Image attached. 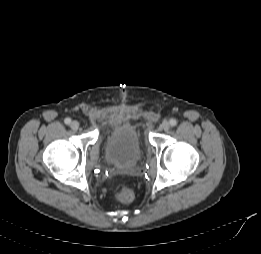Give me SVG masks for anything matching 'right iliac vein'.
Segmentation results:
<instances>
[{"label":"right iliac vein","mask_w":261,"mask_h":254,"mask_svg":"<svg viewBox=\"0 0 261 254\" xmlns=\"http://www.w3.org/2000/svg\"><path fill=\"white\" fill-rule=\"evenodd\" d=\"M70 127L72 130H78L79 128V122L78 121H72L71 124H70Z\"/></svg>","instance_id":"63e3f726"}]
</instances>
